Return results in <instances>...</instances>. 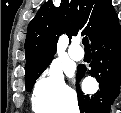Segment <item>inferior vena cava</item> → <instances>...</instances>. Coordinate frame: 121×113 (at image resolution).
<instances>
[{"mask_svg":"<svg viewBox=\"0 0 121 113\" xmlns=\"http://www.w3.org/2000/svg\"><path fill=\"white\" fill-rule=\"evenodd\" d=\"M68 113H79V107L77 103L71 104Z\"/></svg>","mask_w":121,"mask_h":113,"instance_id":"obj_1","label":"inferior vena cava"}]
</instances>
